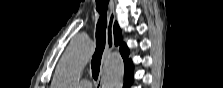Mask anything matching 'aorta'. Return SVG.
Masks as SVG:
<instances>
[{"label": "aorta", "instance_id": "aorta-1", "mask_svg": "<svg viewBox=\"0 0 223 88\" xmlns=\"http://www.w3.org/2000/svg\"><path fill=\"white\" fill-rule=\"evenodd\" d=\"M92 52L93 48L89 40L84 38L73 40L58 64L54 78L56 88H74ZM123 78V59L119 53H112L104 67L103 87L121 88Z\"/></svg>", "mask_w": 223, "mask_h": 88}]
</instances>
